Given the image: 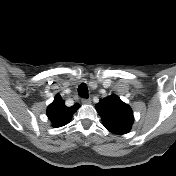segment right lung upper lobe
<instances>
[{
    "instance_id": "cb5924a9",
    "label": "right lung upper lobe",
    "mask_w": 176,
    "mask_h": 176,
    "mask_svg": "<svg viewBox=\"0 0 176 176\" xmlns=\"http://www.w3.org/2000/svg\"><path fill=\"white\" fill-rule=\"evenodd\" d=\"M79 107L80 105L78 103L72 107H67L61 96L57 94L54 98V101L47 109V116L53 123L54 127H61L70 122L73 114Z\"/></svg>"
}]
</instances>
